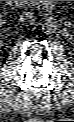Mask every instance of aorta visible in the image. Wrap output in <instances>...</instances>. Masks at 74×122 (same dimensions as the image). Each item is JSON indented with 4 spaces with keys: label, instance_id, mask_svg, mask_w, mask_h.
Instances as JSON below:
<instances>
[{
    "label": "aorta",
    "instance_id": "obj_1",
    "mask_svg": "<svg viewBox=\"0 0 74 122\" xmlns=\"http://www.w3.org/2000/svg\"><path fill=\"white\" fill-rule=\"evenodd\" d=\"M58 28V22L54 18H48L45 21V30L48 34L55 33Z\"/></svg>",
    "mask_w": 74,
    "mask_h": 122
}]
</instances>
